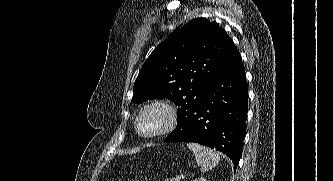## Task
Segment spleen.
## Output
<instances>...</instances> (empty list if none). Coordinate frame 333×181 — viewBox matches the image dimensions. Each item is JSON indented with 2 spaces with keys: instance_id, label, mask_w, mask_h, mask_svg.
Wrapping results in <instances>:
<instances>
[{
  "instance_id": "3e777b00",
  "label": "spleen",
  "mask_w": 333,
  "mask_h": 181,
  "mask_svg": "<svg viewBox=\"0 0 333 181\" xmlns=\"http://www.w3.org/2000/svg\"><path fill=\"white\" fill-rule=\"evenodd\" d=\"M187 146L193 151L202 172L214 168L220 161L219 154L210 148L196 143H188Z\"/></svg>"
}]
</instances>
